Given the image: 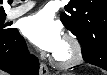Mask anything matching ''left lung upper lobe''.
<instances>
[{
	"mask_svg": "<svg viewBox=\"0 0 107 75\" xmlns=\"http://www.w3.org/2000/svg\"><path fill=\"white\" fill-rule=\"evenodd\" d=\"M60 19L80 41L83 58L96 46V38L107 43V0H70Z\"/></svg>",
	"mask_w": 107,
	"mask_h": 75,
	"instance_id": "5c2ea615",
	"label": "left lung upper lobe"
}]
</instances>
